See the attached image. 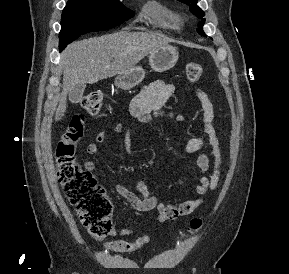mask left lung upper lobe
Here are the masks:
<instances>
[{"label":"left lung upper lobe","mask_w":289,"mask_h":274,"mask_svg":"<svg viewBox=\"0 0 289 274\" xmlns=\"http://www.w3.org/2000/svg\"><path fill=\"white\" fill-rule=\"evenodd\" d=\"M178 1L190 5V11L194 15H196L198 18H202L205 15L204 12L196 5L197 0H178ZM204 22H205V19H202V21L198 24V29H197V32L202 36H206V34L204 33L202 29Z\"/></svg>","instance_id":"5c2ea615"}]
</instances>
